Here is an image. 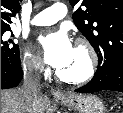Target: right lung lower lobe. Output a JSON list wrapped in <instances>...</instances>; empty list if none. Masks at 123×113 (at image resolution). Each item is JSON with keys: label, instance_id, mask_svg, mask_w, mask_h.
Instances as JSON below:
<instances>
[{"label": "right lung lower lobe", "instance_id": "1", "mask_svg": "<svg viewBox=\"0 0 123 113\" xmlns=\"http://www.w3.org/2000/svg\"><path fill=\"white\" fill-rule=\"evenodd\" d=\"M23 77L21 63L18 65L1 64V89L16 87Z\"/></svg>", "mask_w": 123, "mask_h": 113}]
</instances>
